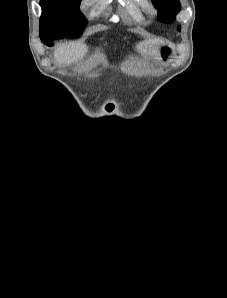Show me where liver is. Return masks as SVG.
<instances>
[{"mask_svg":"<svg viewBox=\"0 0 227 298\" xmlns=\"http://www.w3.org/2000/svg\"><path fill=\"white\" fill-rule=\"evenodd\" d=\"M160 43L161 41L157 39H149L140 43L137 48L143 55H155L156 51L154 50V47ZM86 52L87 47L83 43H72L59 46L55 50L54 56L58 63L70 65L73 62L83 58Z\"/></svg>","mask_w":227,"mask_h":298,"instance_id":"obj_1","label":"liver"}]
</instances>
